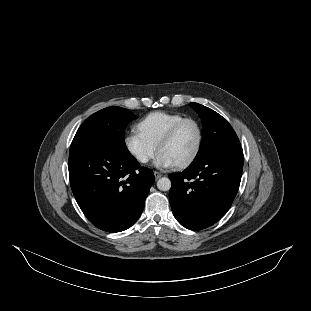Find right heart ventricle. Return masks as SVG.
<instances>
[{"mask_svg":"<svg viewBox=\"0 0 311 311\" xmlns=\"http://www.w3.org/2000/svg\"><path fill=\"white\" fill-rule=\"evenodd\" d=\"M184 116L180 113L151 112L141 118L135 126L141 137L157 148L162 137Z\"/></svg>","mask_w":311,"mask_h":311,"instance_id":"1","label":"right heart ventricle"}]
</instances>
